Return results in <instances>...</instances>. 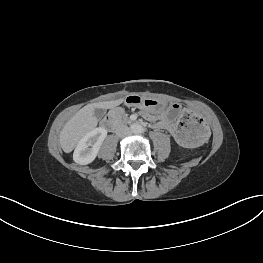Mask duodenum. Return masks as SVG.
Listing matches in <instances>:
<instances>
[{
	"label": "duodenum",
	"mask_w": 263,
	"mask_h": 263,
	"mask_svg": "<svg viewBox=\"0 0 263 263\" xmlns=\"http://www.w3.org/2000/svg\"><path fill=\"white\" fill-rule=\"evenodd\" d=\"M103 123L108 129H113L116 126V121L112 115L106 116Z\"/></svg>",
	"instance_id": "duodenum-1"
}]
</instances>
